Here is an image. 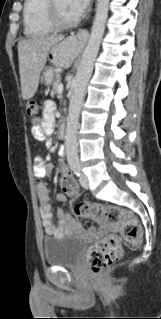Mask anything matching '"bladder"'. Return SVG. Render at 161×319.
I'll use <instances>...</instances> for the list:
<instances>
[{
	"label": "bladder",
	"mask_w": 161,
	"mask_h": 319,
	"mask_svg": "<svg viewBox=\"0 0 161 319\" xmlns=\"http://www.w3.org/2000/svg\"><path fill=\"white\" fill-rule=\"evenodd\" d=\"M85 244L74 236L47 235L43 240L44 263L48 266L74 265L82 256Z\"/></svg>",
	"instance_id": "bladder-1"
}]
</instances>
